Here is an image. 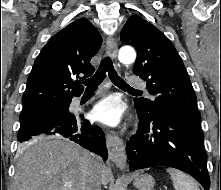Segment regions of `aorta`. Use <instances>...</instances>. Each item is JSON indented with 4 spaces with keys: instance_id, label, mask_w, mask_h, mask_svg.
<instances>
[{
    "instance_id": "762f6f07",
    "label": "aorta",
    "mask_w": 221,
    "mask_h": 190,
    "mask_svg": "<svg viewBox=\"0 0 221 190\" xmlns=\"http://www.w3.org/2000/svg\"><path fill=\"white\" fill-rule=\"evenodd\" d=\"M118 59L123 64H131L136 59V53L130 46H123L119 50Z\"/></svg>"
}]
</instances>
